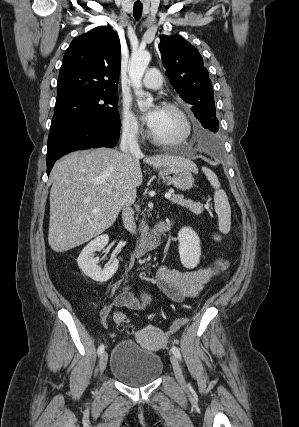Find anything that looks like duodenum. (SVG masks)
Listing matches in <instances>:
<instances>
[{
	"label": "duodenum",
	"instance_id": "410a0bca",
	"mask_svg": "<svg viewBox=\"0 0 299 427\" xmlns=\"http://www.w3.org/2000/svg\"><path fill=\"white\" fill-rule=\"evenodd\" d=\"M173 223V219H167L156 223L146 237L137 240L134 243V254L137 257H142L146 253L155 249L160 242L162 235L171 228Z\"/></svg>",
	"mask_w": 299,
	"mask_h": 427
}]
</instances>
